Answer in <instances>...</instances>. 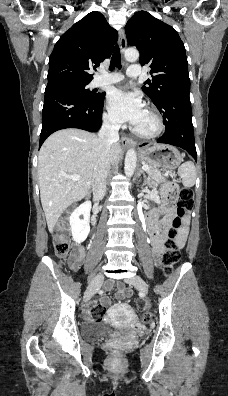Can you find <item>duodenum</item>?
Wrapping results in <instances>:
<instances>
[{
    "instance_id": "1",
    "label": "duodenum",
    "mask_w": 228,
    "mask_h": 396,
    "mask_svg": "<svg viewBox=\"0 0 228 396\" xmlns=\"http://www.w3.org/2000/svg\"><path fill=\"white\" fill-rule=\"evenodd\" d=\"M145 224H146L148 234H149L150 238L152 239V237L159 232L160 225L158 224V221H156L150 217L145 218Z\"/></svg>"
}]
</instances>
